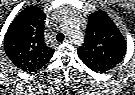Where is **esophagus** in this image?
I'll use <instances>...</instances> for the list:
<instances>
[{"label":"esophagus","instance_id":"1","mask_svg":"<svg viewBox=\"0 0 135 95\" xmlns=\"http://www.w3.org/2000/svg\"><path fill=\"white\" fill-rule=\"evenodd\" d=\"M64 42H65V43H71L72 40H71L70 38H66V39L64 40Z\"/></svg>","mask_w":135,"mask_h":95}]
</instances>
